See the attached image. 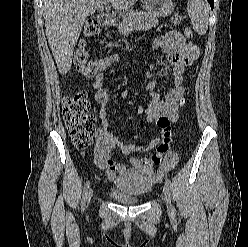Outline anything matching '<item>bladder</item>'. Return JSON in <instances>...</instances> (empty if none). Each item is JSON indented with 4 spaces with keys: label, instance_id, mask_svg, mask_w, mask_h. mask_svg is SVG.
<instances>
[{
    "label": "bladder",
    "instance_id": "1",
    "mask_svg": "<svg viewBox=\"0 0 248 247\" xmlns=\"http://www.w3.org/2000/svg\"><path fill=\"white\" fill-rule=\"evenodd\" d=\"M118 190L111 196L124 204H136L154 185V173L149 169L131 168L116 180Z\"/></svg>",
    "mask_w": 248,
    "mask_h": 247
}]
</instances>
